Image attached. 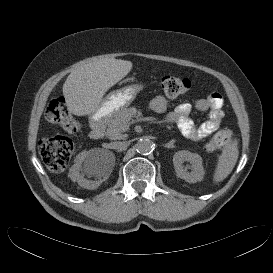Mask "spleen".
<instances>
[{"label": "spleen", "instance_id": "3e777b00", "mask_svg": "<svg viewBox=\"0 0 273 273\" xmlns=\"http://www.w3.org/2000/svg\"><path fill=\"white\" fill-rule=\"evenodd\" d=\"M239 156L238 143L234 140L226 146L218 158L213 180L218 183L223 181L232 172Z\"/></svg>", "mask_w": 273, "mask_h": 273}]
</instances>
